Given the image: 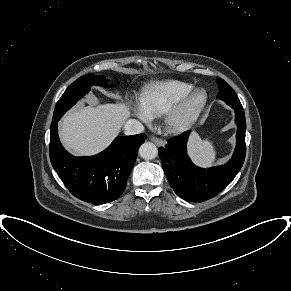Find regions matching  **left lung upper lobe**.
Wrapping results in <instances>:
<instances>
[{
    "label": "left lung upper lobe",
    "instance_id": "obj_1",
    "mask_svg": "<svg viewBox=\"0 0 291 291\" xmlns=\"http://www.w3.org/2000/svg\"><path fill=\"white\" fill-rule=\"evenodd\" d=\"M219 93L217 98L224 100L231 107L241 106L240 100L235 91L223 79L217 77Z\"/></svg>",
    "mask_w": 291,
    "mask_h": 291
}]
</instances>
